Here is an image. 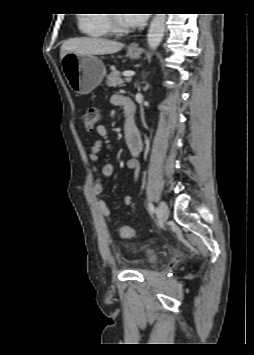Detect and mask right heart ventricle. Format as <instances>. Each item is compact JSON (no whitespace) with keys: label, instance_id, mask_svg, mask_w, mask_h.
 Returning <instances> with one entry per match:
<instances>
[{"label":"right heart ventricle","instance_id":"right-heart-ventricle-1","mask_svg":"<svg viewBox=\"0 0 254 355\" xmlns=\"http://www.w3.org/2000/svg\"><path fill=\"white\" fill-rule=\"evenodd\" d=\"M109 13L88 12L80 15L78 26L82 33L92 38H105L110 36Z\"/></svg>","mask_w":254,"mask_h":355}]
</instances>
